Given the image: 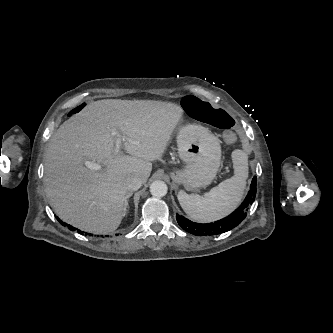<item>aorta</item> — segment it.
Listing matches in <instances>:
<instances>
[{"mask_svg": "<svg viewBox=\"0 0 333 333\" xmlns=\"http://www.w3.org/2000/svg\"><path fill=\"white\" fill-rule=\"evenodd\" d=\"M168 187L163 181H154L150 185V192L154 197H163L167 194Z\"/></svg>", "mask_w": 333, "mask_h": 333, "instance_id": "aorta-1", "label": "aorta"}]
</instances>
